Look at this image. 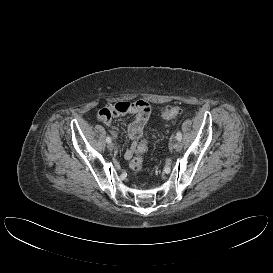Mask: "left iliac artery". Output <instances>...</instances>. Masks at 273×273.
Returning a JSON list of instances; mask_svg holds the SVG:
<instances>
[{
  "label": "left iliac artery",
  "instance_id": "44dca946",
  "mask_svg": "<svg viewBox=\"0 0 273 273\" xmlns=\"http://www.w3.org/2000/svg\"><path fill=\"white\" fill-rule=\"evenodd\" d=\"M176 138L177 140H180V141L182 140V133L180 131L177 132Z\"/></svg>",
  "mask_w": 273,
  "mask_h": 273
}]
</instances>
